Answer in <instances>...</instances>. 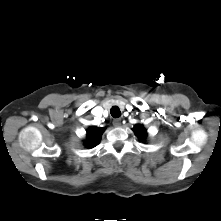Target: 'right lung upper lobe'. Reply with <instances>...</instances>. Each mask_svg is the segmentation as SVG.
Here are the masks:
<instances>
[{
  "instance_id": "obj_1",
  "label": "right lung upper lobe",
  "mask_w": 221,
  "mask_h": 221,
  "mask_svg": "<svg viewBox=\"0 0 221 221\" xmlns=\"http://www.w3.org/2000/svg\"><path fill=\"white\" fill-rule=\"evenodd\" d=\"M104 132V128L91 127L87 130V138L88 142L86 143V147L92 148L99 143L100 137Z\"/></svg>"
}]
</instances>
